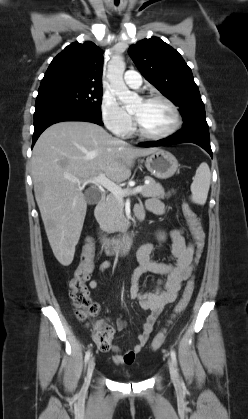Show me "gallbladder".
I'll return each instance as SVG.
<instances>
[{"label":"gallbladder","instance_id":"obj_1","mask_svg":"<svg viewBox=\"0 0 248 419\" xmlns=\"http://www.w3.org/2000/svg\"><path fill=\"white\" fill-rule=\"evenodd\" d=\"M84 195L86 202L91 205L96 204L101 198L100 192L96 189H89Z\"/></svg>","mask_w":248,"mask_h":419}]
</instances>
